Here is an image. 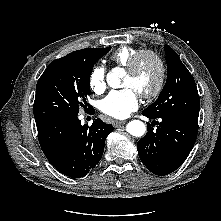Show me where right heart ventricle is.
<instances>
[{"mask_svg":"<svg viewBox=\"0 0 221 221\" xmlns=\"http://www.w3.org/2000/svg\"><path fill=\"white\" fill-rule=\"evenodd\" d=\"M140 50L142 49L130 46H122L111 55L110 59L117 66L126 68L129 65L133 56Z\"/></svg>","mask_w":221,"mask_h":221,"instance_id":"e07e8e85","label":"right heart ventricle"}]
</instances>
